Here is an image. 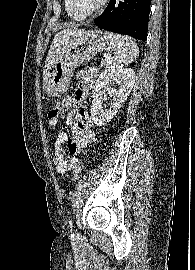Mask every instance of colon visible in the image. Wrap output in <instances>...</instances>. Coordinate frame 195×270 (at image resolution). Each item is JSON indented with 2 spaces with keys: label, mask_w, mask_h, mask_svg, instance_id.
Returning <instances> with one entry per match:
<instances>
[{
  "label": "colon",
  "mask_w": 195,
  "mask_h": 270,
  "mask_svg": "<svg viewBox=\"0 0 195 270\" xmlns=\"http://www.w3.org/2000/svg\"><path fill=\"white\" fill-rule=\"evenodd\" d=\"M64 109H65V106L62 103V101L54 103L53 105L50 106L48 110L49 119L58 118ZM82 169H83V163L80 162L78 165H76V167L73 170V173H72L73 180H77L80 177Z\"/></svg>",
  "instance_id": "obj_1"
}]
</instances>
